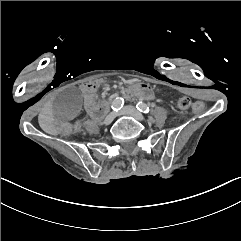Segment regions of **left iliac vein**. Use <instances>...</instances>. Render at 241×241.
<instances>
[{
    "mask_svg": "<svg viewBox=\"0 0 241 241\" xmlns=\"http://www.w3.org/2000/svg\"><path fill=\"white\" fill-rule=\"evenodd\" d=\"M116 115L117 116H122V115L132 116L133 118H135L136 120L141 121V122L145 120V117L140 112H138L133 106L124 107Z\"/></svg>",
    "mask_w": 241,
    "mask_h": 241,
    "instance_id": "1",
    "label": "left iliac vein"
}]
</instances>
